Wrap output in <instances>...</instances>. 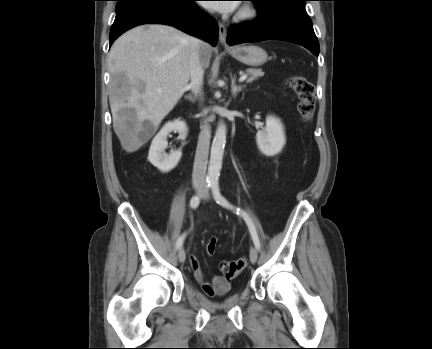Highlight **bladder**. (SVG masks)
Returning <instances> with one entry per match:
<instances>
[{"instance_id":"bladder-1","label":"bladder","mask_w":432,"mask_h":349,"mask_svg":"<svg viewBox=\"0 0 432 349\" xmlns=\"http://www.w3.org/2000/svg\"><path fill=\"white\" fill-rule=\"evenodd\" d=\"M199 297L201 300H203L205 303H207L208 305H211L215 308H220L222 307V305L229 301L232 300L236 297V294L230 293V292H226L223 296H221L220 298H218L216 301H214L212 298L207 297L206 295H204L202 292H199Z\"/></svg>"}]
</instances>
